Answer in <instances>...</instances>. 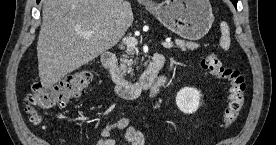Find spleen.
Here are the masks:
<instances>
[{"instance_id":"obj_1","label":"spleen","mask_w":276,"mask_h":145,"mask_svg":"<svg viewBox=\"0 0 276 145\" xmlns=\"http://www.w3.org/2000/svg\"><path fill=\"white\" fill-rule=\"evenodd\" d=\"M221 38L220 46L224 50H228L230 47V30L229 26L225 21H222L220 24Z\"/></svg>"}]
</instances>
